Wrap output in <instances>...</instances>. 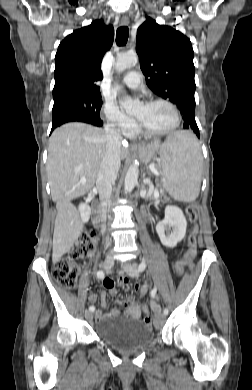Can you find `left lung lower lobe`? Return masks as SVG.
<instances>
[{
  "label": "left lung lower lobe",
  "instance_id": "left-lung-lower-lobe-1",
  "mask_svg": "<svg viewBox=\"0 0 252 390\" xmlns=\"http://www.w3.org/2000/svg\"><path fill=\"white\" fill-rule=\"evenodd\" d=\"M184 128L185 129H192L197 136L199 137V129L197 127L195 116L187 114L184 118Z\"/></svg>",
  "mask_w": 252,
  "mask_h": 390
}]
</instances>
